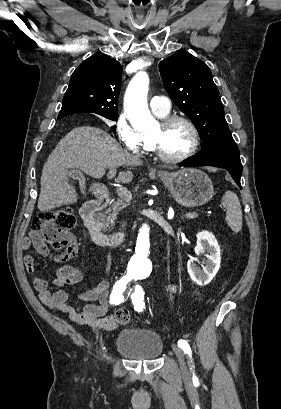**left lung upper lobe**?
<instances>
[{
  "instance_id": "left-lung-upper-lobe-1",
  "label": "left lung upper lobe",
  "mask_w": 281,
  "mask_h": 409,
  "mask_svg": "<svg viewBox=\"0 0 281 409\" xmlns=\"http://www.w3.org/2000/svg\"><path fill=\"white\" fill-rule=\"evenodd\" d=\"M159 69L169 96L199 132L202 148L198 155L239 154L209 67L180 50L161 61Z\"/></svg>"
}]
</instances>
